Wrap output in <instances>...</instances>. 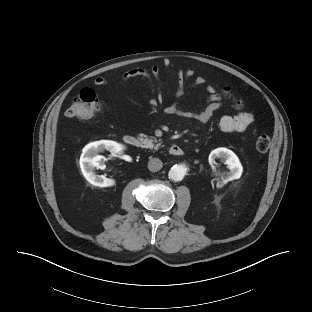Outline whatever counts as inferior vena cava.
<instances>
[{"mask_svg": "<svg viewBox=\"0 0 312 312\" xmlns=\"http://www.w3.org/2000/svg\"><path fill=\"white\" fill-rule=\"evenodd\" d=\"M163 167V163L158 158H151L148 162V169L151 172H157Z\"/></svg>", "mask_w": 312, "mask_h": 312, "instance_id": "602c4592", "label": "inferior vena cava"}]
</instances>
